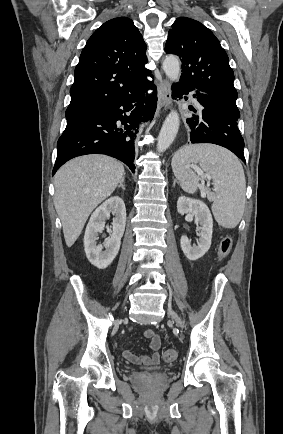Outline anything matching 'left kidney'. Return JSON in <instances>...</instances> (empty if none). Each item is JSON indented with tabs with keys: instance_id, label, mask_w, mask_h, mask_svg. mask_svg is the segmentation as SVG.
<instances>
[{
	"instance_id": "obj_1",
	"label": "left kidney",
	"mask_w": 283,
	"mask_h": 434,
	"mask_svg": "<svg viewBox=\"0 0 283 434\" xmlns=\"http://www.w3.org/2000/svg\"><path fill=\"white\" fill-rule=\"evenodd\" d=\"M179 214L191 213L195 217L198 226L197 245H191V240L183 235L180 240L181 248L185 256L195 261L205 255L211 246L213 219L208 206L201 200L181 196L177 202Z\"/></svg>"
}]
</instances>
